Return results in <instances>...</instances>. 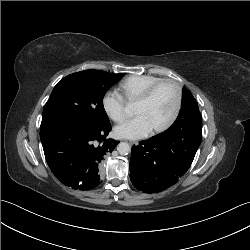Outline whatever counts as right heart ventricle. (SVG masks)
<instances>
[{
  "instance_id": "obj_1",
  "label": "right heart ventricle",
  "mask_w": 250,
  "mask_h": 250,
  "mask_svg": "<svg viewBox=\"0 0 250 250\" xmlns=\"http://www.w3.org/2000/svg\"><path fill=\"white\" fill-rule=\"evenodd\" d=\"M162 78L155 75H132L119 84L120 91L129 101H135L152 84Z\"/></svg>"
}]
</instances>
